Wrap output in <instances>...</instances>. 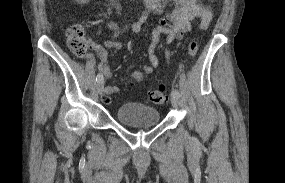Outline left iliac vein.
I'll use <instances>...</instances> for the list:
<instances>
[{"label": "left iliac vein", "mask_w": 285, "mask_h": 183, "mask_svg": "<svg viewBox=\"0 0 285 183\" xmlns=\"http://www.w3.org/2000/svg\"><path fill=\"white\" fill-rule=\"evenodd\" d=\"M171 103L173 107H177L179 104V97L172 95L171 97Z\"/></svg>", "instance_id": "obj_1"}]
</instances>
